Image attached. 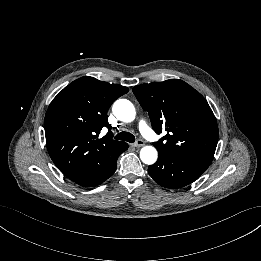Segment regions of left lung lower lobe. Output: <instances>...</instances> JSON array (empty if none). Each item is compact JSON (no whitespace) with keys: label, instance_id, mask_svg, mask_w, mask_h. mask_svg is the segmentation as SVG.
I'll return each mask as SVG.
<instances>
[{"label":"left lung lower lobe","instance_id":"0a47b994","mask_svg":"<svg viewBox=\"0 0 261 261\" xmlns=\"http://www.w3.org/2000/svg\"><path fill=\"white\" fill-rule=\"evenodd\" d=\"M209 165L173 154L159 153L148 167L150 176L162 187L177 189L194 182Z\"/></svg>","mask_w":261,"mask_h":261}]
</instances>
